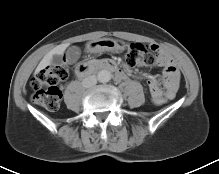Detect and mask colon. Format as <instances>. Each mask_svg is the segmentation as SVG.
<instances>
[{
	"mask_svg": "<svg viewBox=\"0 0 219 174\" xmlns=\"http://www.w3.org/2000/svg\"><path fill=\"white\" fill-rule=\"evenodd\" d=\"M125 62L131 67L148 66L154 63L155 57L150 50L140 43L129 46L125 53ZM69 75L68 62L64 59L59 64H52L39 71L31 81L32 100L50 111H55L60 106L61 92L57 84ZM152 101L157 106L166 103L162 96H152Z\"/></svg>",
	"mask_w": 219,
	"mask_h": 174,
	"instance_id": "1",
	"label": "colon"
}]
</instances>
